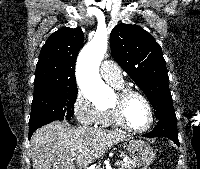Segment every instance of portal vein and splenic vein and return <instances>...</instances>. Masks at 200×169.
<instances>
[{
  "mask_svg": "<svg viewBox=\"0 0 200 169\" xmlns=\"http://www.w3.org/2000/svg\"><path fill=\"white\" fill-rule=\"evenodd\" d=\"M120 164H121L120 161H117V162L115 163V165H117V166H119Z\"/></svg>",
  "mask_w": 200,
  "mask_h": 169,
  "instance_id": "portal-vein-and-splenic-vein-1",
  "label": "portal vein and splenic vein"
}]
</instances>
